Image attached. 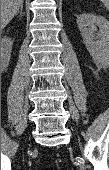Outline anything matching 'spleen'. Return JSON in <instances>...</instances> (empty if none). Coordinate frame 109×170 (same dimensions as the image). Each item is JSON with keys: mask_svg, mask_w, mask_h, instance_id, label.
Here are the masks:
<instances>
[{"mask_svg": "<svg viewBox=\"0 0 109 170\" xmlns=\"http://www.w3.org/2000/svg\"><path fill=\"white\" fill-rule=\"evenodd\" d=\"M105 6L109 5V0H100Z\"/></svg>", "mask_w": 109, "mask_h": 170, "instance_id": "3e777b00", "label": "spleen"}]
</instances>
